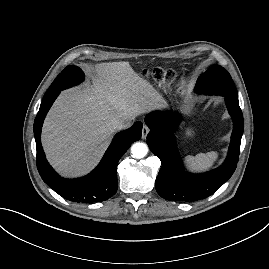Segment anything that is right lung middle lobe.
Returning <instances> with one entry per match:
<instances>
[{
    "mask_svg": "<svg viewBox=\"0 0 269 269\" xmlns=\"http://www.w3.org/2000/svg\"><path fill=\"white\" fill-rule=\"evenodd\" d=\"M84 80L83 71L74 65H68L54 80L49 89L47 90L45 97L50 96L56 92L64 90L79 84Z\"/></svg>",
    "mask_w": 269,
    "mask_h": 269,
    "instance_id": "obj_1",
    "label": "right lung middle lobe"
}]
</instances>
